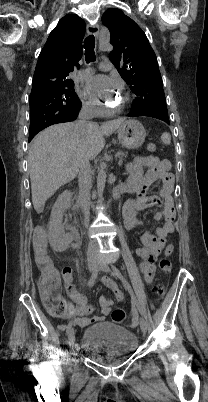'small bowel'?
Segmentation results:
<instances>
[{
	"label": "small bowel",
	"instance_id": "small-bowel-1",
	"mask_svg": "<svg viewBox=\"0 0 208 402\" xmlns=\"http://www.w3.org/2000/svg\"><path fill=\"white\" fill-rule=\"evenodd\" d=\"M170 167L171 165L168 160L154 156L138 157L128 167V180L126 187L129 192L137 193V198L129 201L124 207L123 214L126 227L128 229H136L143 226V221L139 217V212L156 203H159L161 209L156 213L155 219L164 221L163 226L157 228L155 232L146 231L142 235L141 241L143 246L137 250V254L142 258L139 269L143 273L144 280L147 283L153 281L157 255L165 247L168 239L174 233L175 211L171 197L173 176L170 173ZM142 168L147 169L145 175L142 173ZM156 181H159L161 184L159 191L160 201L147 196L149 187ZM44 256L47 255L45 254ZM62 274L66 277V280H64L65 287L67 293L74 301V305L72 317L67 316L65 318L64 316H61L59 321L61 323H64L65 321L71 323L73 321L79 325L81 330H88L92 323L100 324L102 318H105L110 312L112 301L108 298L101 297L100 305L102 316L93 315L92 317H89L88 314L91 308L87 305L84 297L76 292L72 278L69 277L71 272L66 269ZM102 283L113 292L117 302L124 301V292L116 281L110 277H104ZM42 297L47 299L53 297L61 298L60 295H42Z\"/></svg>",
	"mask_w": 208,
	"mask_h": 402
}]
</instances>
